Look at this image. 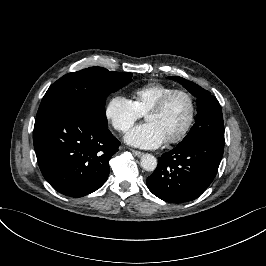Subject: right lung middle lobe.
<instances>
[{"mask_svg": "<svg viewBox=\"0 0 266 266\" xmlns=\"http://www.w3.org/2000/svg\"><path fill=\"white\" fill-rule=\"evenodd\" d=\"M131 81L132 73L108 71L102 67H89L68 73L47 90L37 117L58 108H69L87 115L99 126L108 127L106 98Z\"/></svg>", "mask_w": 266, "mask_h": 266, "instance_id": "dd1d6c3e", "label": "right lung middle lobe"}]
</instances>
